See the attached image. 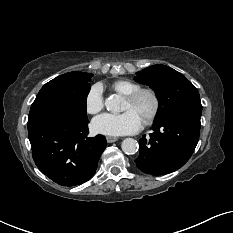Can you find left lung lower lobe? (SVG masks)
Instances as JSON below:
<instances>
[{
    "label": "left lung lower lobe",
    "mask_w": 233,
    "mask_h": 233,
    "mask_svg": "<svg viewBox=\"0 0 233 233\" xmlns=\"http://www.w3.org/2000/svg\"><path fill=\"white\" fill-rule=\"evenodd\" d=\"M201 112L180 110L155 119L153 132L140 140V154L135 160L137 167L151 175L181 168L198 143Z\"/></svg>",
    "instance_id": "1"
}]
</instances>
